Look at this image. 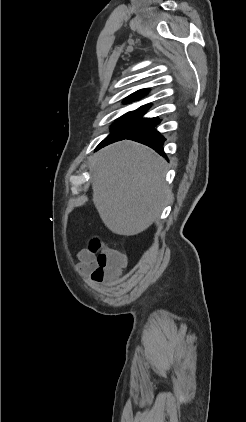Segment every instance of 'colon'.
I'll return each mask as SVG.
<instances>
[{"instance_id": "obj_1", "label": "colon", "mask_w": 246, "mask_h": 422, "mask_svg": "<svg viewBox=\"0 0 246 422\" xmlns=\"http://www.w3.org/2000/svg\"><path fill=\"white\" fill-rule=\"evenodd\" d=\"M89 250L98 253L97 266L92 273V277L97 280L116 275L125 265V256L119 250L103 245L98 237H93L90 240Z\"/></svg>"}]
</instances>
